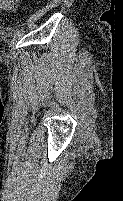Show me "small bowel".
<instances>
[{
  "instance_id": "c3829d8e",
  "label": "small bowel",
  "mask_w": 123,
  "mask_h": 201,
  "mask_svg": "<svg viewBox=\"0 0 123 201\" xmlns=\"http://www.w3.org/2000/svg\"><path fill=\"white\" fill-rule=\"evenodd\" d=\"M20 0H0V10L14 11Z\"/></svg>"
}]
</instances>
